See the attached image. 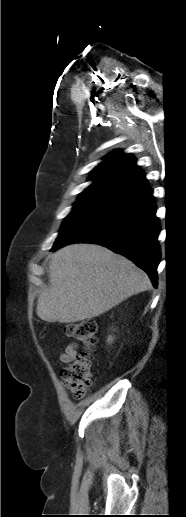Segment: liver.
I'll return each mask as SVG.
<instances>
[{
	"label": "liver",
	"mask_w": 186,
	"mask_h": 517,
	"mask_svg": "<svg viewBox=\"0 0 186 517\" xmlns=\"http://www.w3.org/2000/svg\"><path fill=\"white\" fill-rule=\"evenodd\" d=\"M49 283L38 298L37 316L60 323L97 317L151 286L132 261L95 244L68 245L53 253Z\"/></svg>",
	"instance_id": "liver-1"
}]
</instances>
